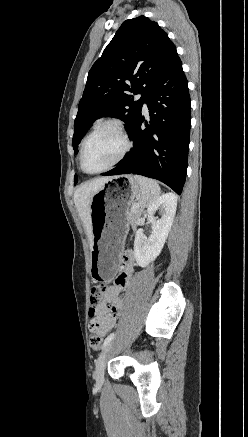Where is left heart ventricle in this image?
<instances>
[{"label":"left heart ventricle","instance_id":"left-heart-ventricle-1","mask_svg":"<svg viewBox=\"0 0 248 437\" xmlns=\"http://www.w3.org/2000/svg\"><path fill=\"white\" fill-rule=\"evenodd\" d=\"M124 142L113 128L106 127L95 133L87 142L84 163L88 171L101 170L111 164L121 153Z\"/></svg>","mask_w":248,"mask_h":437}]
</instances>
